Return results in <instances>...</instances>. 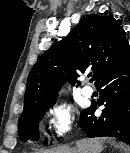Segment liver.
<instances>
[{
	"instance_id": "6515ba94",
	"label": "liver",
	"mask_w": 130,
	"mask_h": 153,
	"mask_svg": "<svg viewBox=\"0 0 130 153\" xmlns=\"http://www.w3.org/2000/svg\"><path fill=\"white\" fill-rule=\"evenodd\" d=\"M103 150V139L84 138L76 142L75 147L61 146L51 150H44L41 153H101Z\"/></svg>"
}]
</instances>
